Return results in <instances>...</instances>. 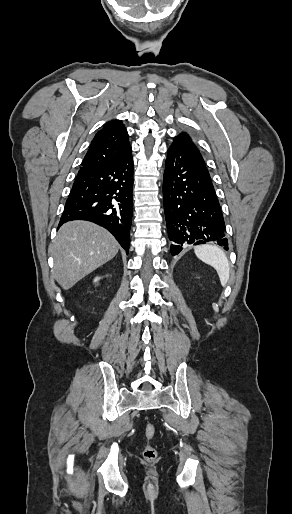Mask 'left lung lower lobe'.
Masks as SVG:
<instances>
[{
	"instance_id": "0a47b994",
	"label": "left lung lower lobe",
	"mask_w": 292,
	"mask_h": 514,
	"mask_svg": "<svg viewBox=\"0 0 292 514\" xmlns=\"http://www.w3.org/2000/svg\"><path fill=\"white\" fill-rule=\"evenodd\" d=\"M167 153L163 202L171 254L177 255L186 244L206 242L228 250L223 214L206 164L185 142L172 143Z\"/></svg>"
}]
</instances>
